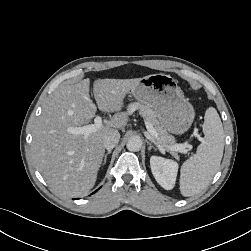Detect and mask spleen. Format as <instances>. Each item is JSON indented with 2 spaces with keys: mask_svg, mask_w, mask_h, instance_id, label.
Instances as JSON below:
<instances>
[{
  "mask_svg": "<svg viewBox=\"0 0 251 251\" xmlns=\"http://www.w3.org/2000/svg\"><path fill=\"white\" fill-rule=\"evenodd\" d=\"M204 140L196 154L181 166L180 192L189 197L201 193L219 169L224 149V130L216 109L209 107L204 116Z\"/></svg>",
  "mask_w": 251,
  "mask_h": 251,
  "instance_id": "3e777b00",
  "label": "spleen"
}]
</instances>
